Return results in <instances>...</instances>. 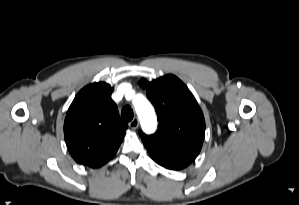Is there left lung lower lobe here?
Listing matches in <instances>:
<instances>
[{
	"instance_id": "left-lung-lower-lobe-1",
	"label": "left lung lower lobe",
	"mask_w": 299,
	"mask_h": 205,
	"mask_svg": "<svg viewBox=\"0 0 299 205\" xmlns=\"http://www.w3.org/2000/svg\"><path fill=\"white\" fill-rule=\"evenodd\" d=\"M144 144L155 162L171 170L187 167L195 160L202 147V145L182 141L146 142Z\"/></svg>"
}]
</instances>
